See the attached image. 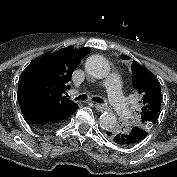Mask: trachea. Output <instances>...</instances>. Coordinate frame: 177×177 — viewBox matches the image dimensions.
I'll use <instances>...</instances> for the list:
<instances>
[{"label":"trachea","mask_w":177,"mask_h":177,"mask_svg":"<svg viewBox=\"0 0 177 177\" xmlns=\"http://www.w3.org/2000/svg\"><path fill=\"white\" fill-rule=\"evenodd\" d=\"M76 100H85L87 99V95L86 94H83V95H80L78 97L75 98ZM94 101L98 102V103H103V99L99 98V97H94L93 98Z\"/></svg>","instance_id":"obj_1"}]
</instances>
